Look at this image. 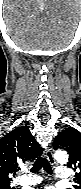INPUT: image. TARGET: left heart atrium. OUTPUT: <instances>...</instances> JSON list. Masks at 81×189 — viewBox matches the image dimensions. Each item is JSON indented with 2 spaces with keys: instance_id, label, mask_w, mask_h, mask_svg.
Segmentation results:
<instances>
[{
  "instance_id": "left-heart-atrium-1",
  "label": "left heart atrium",
  "mask_w": 81,
  "mask_h": 189,
  "mask_svg": "<svg viewBox=\"0 0 81 189\" xmlns=\"http://www.w3.org/2000/svg\"><path fill=\"white\" fill-rule=\"evenodd\" d=\"M45 189H55L54 187H47V188H45Z\"/></svg>"
}]
</instances>
